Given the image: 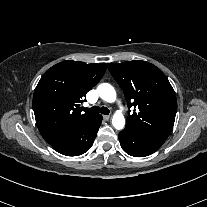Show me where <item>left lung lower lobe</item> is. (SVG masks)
Here are the masks:
<instances>
[{
    "instance_id": "obj_1",
    "label": "left lung lower lobe",
    "mask_w": 207,
    "mask_h": 207,
    "mask_svg": "<svg viewBox=\"0 0 207 207\" xmlns=\"http://www.w3.org/2000/svg\"><path fill=\"white\" fill-rule=\"evenodd\" d=\"M118 137L123 150L134 157L151 155L157 151L166 140L165 138L142 133L129 127H125V129L119 133Z\"/></svg>"
}]
</instances>
